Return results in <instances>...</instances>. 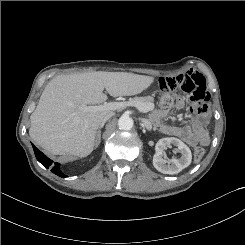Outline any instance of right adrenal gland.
Masks as SVG:
<instances>
[{
	"label": "right adrenal gland",
	"mask_w": 245,
	"mask_h": 245,
	"mask_svg": "<svg viewBox=\"0 0 245 245\" xmlns=\"http://www.w3.org/2000/svg\"><path fill=\"white\" fill-rule=\"evenodd\" d=\"M104 125H101L99 127V130L97 132V137H96V140H95V147H97L99 144H100V139H101V128L103 127Z\"/></svg>",
	"instance_id": "right-adrenal-gland-1"
}]
</instances>
